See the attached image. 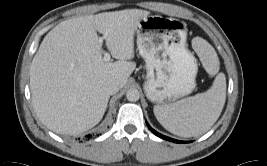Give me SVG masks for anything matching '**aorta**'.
<instances>
[{
    "instance_id": "obj_1",
    "label": "aorta",
    "mask_w": 267,
    "mask_h": 166,
    "mask_svg": "<svg viewBox=\"0 0 267 166\" xmlns=\"http://www.w3.org/2000/svg\"><path fill=\"white\" fill-rule=\"evenodd\" d=\"M126 98L128 99V101L136 102L140 98V93L137 89L131 88L127 91Z\"/></svg>"
}]
</instances>
